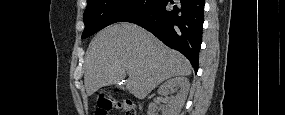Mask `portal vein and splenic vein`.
<instances>
[{
  "label": "portal vein and splenic vein",
  "mask_w": 285,
  "mask_h": 115,
  "mask_svg": "<svg viewBox=\"0 0 285 115\" xmlns=\"http://www.w3.org/2000/svg\"><path fill=\"white\" fill-rule=\"evenodd\" d=\"M127 73H130V71H129V70H127Z\"/></svg>",
  "instance_id": "portal-vein-and-splenic-vein-1"
}]
</instances>
